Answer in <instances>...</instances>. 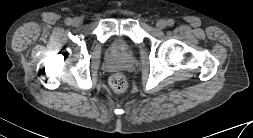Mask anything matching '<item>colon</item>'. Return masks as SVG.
Listing matches in <instances>:
<instances>
[{"label": "colon", "instance_id": "1", "mask_svg": "<svg viewBox=\"0 0 253 138\" xmlns=\"http://www.w3.org/2000/svg\"><path fill=\"white\" fill-rule=\"evenodd\" d=\"M110 86L115 93H124L127 89L128 83L125 76L121 73H115L110 77Z\"/></svg>", "mask_w": 253, "mask_h": 138}]
</instances>
